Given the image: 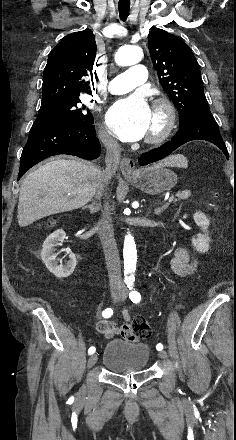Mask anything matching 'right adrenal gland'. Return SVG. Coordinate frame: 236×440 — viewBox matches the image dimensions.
Masks as SVG:
<instances>
[{"mask_svg": "<svg viewBox=\"0 0 236 440\" xmlns=\"http://www.w3.org/2000/svg\"><path fill=\"white\" fill-rule=\"evenodd\" d=\"M99 207H100L99 203H97V204L93 203L91 205L85 206L84 209L88 208L91 213H95V212L99 211Z\"/></svg>", "mask_w": 236, "mask_h": 440, "instance_id": "1", "label": "right adrenal gland"}]
</instances>
